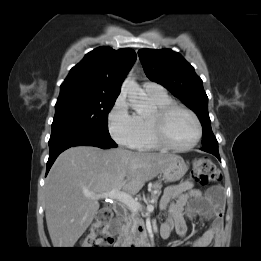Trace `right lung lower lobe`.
Masks as SVG:
<instances>
[{
  "instance_id": "98d812e1",
  "label": "right lung lower lobe",
  "mask_w": 261,
  "mask_h": 261,
  "mask_svg": "<svg viewBox=\"0 0 261 261\" xmlns=\"http://www.w3.org/2000/svg\"><path fill=\"white\" fill-rule=\"evenodd\" d=\"M73 146H95L102 149L115 148L117 144L110 135L92 130H76L53 134L49 140V159L47 162L46 175L58 155Z\"/></svg>"
}]
</instances>
